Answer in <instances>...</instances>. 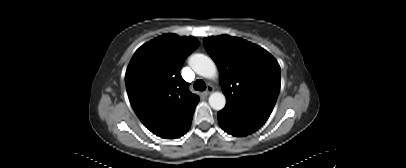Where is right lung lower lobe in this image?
I'll return each instance as SVG.
<instances>
[{"instance_id":"right-lung-lower-lobe-1","label":"right lung lower lobe","mask_w":406,"mask_h":168,"mask_svg":"<svg viewBox=\"0 0 406 168\" xmlns=\"http://www.w3.org/2000/svg\"><path fill=\"white\" fill-rule=\"evenodd\" d=\"M194 111L187 117V119L180 124L174 132L169 135V138H179L184 135L190 128Z\"/></svg>"}]
</instances>
